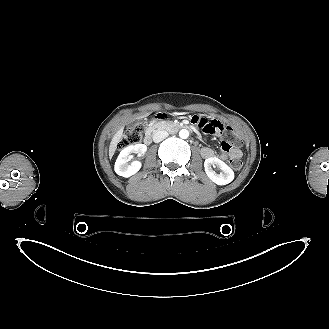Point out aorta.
Masks as SVG:
<instances>
[{
    "instance_id": "762f6f07",
    "label": "aorta",
    "mask_w": 329,
    "mask_h": 329,
    "mask_svg": "<svg viewBox=\"0 0 329 329\" xmlns=\"http://www.w3.org/2000/svg\"><path fill=\"white\" fill-rule=\"evenodd\" d=\"M179 136H180V138H182V139H187V138L189 137V131L186 130V129H182V130H180V132H179Z\"/></svg>"
}]
</instances>
